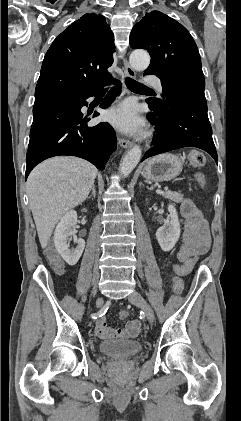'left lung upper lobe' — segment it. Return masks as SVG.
<instances>
[{
  "mask_svg": "<svg viewBox=\"0 0 241 421\" xmlns=\"http://www.w3.org/2000/svg\"><path fill=\"white\" fill-rule=\"evenodd\" d=\"M130 46L150 53L151 62L145 73L161 79L165 98H151L155 104H166L175 90H204L205 79L196 43L184 26L166 14L147 13L133 27Z\"/></svg>",
  "mask_w": 241,
  "mask_h": 421,
  "instance_id": "left-lung-upper-lobe-1",
  "label": "left lung upper lobe"
}]
</instances>
